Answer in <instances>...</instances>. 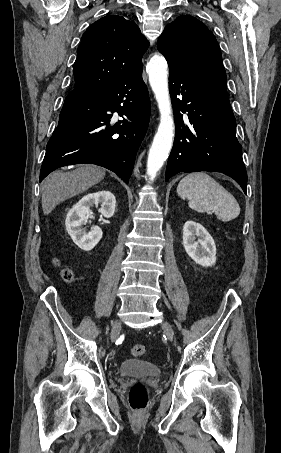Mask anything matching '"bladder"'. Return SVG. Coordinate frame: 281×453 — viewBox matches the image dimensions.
Returning <instances> with one entry per match:
<instances>
[{
    "mask_svg": "<svg viewBox=\"0 0 281 453\" xmlns=\"http://www.w3.org/2000/svg\"><path fill=\"white\" fill-rule=\"evenodd\" d=\"M119 372L123 376L158 377L160 375V369L151 363L134 360L124 361L119 367Z\"/></svg>",
    "mask_w": 281,
    "mask_h": 453,
    "instance_id": "1",
    "label": "bladder"
}]
</instances>
